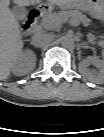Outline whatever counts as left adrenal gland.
Returning <instances> with one entry per match:
<instances>
[{
	"label": "left adrenal gland",
	"mask_w": 104,
	"mask_h": 137,
	"mask_svg": "<svg viewBox=\"0 0 104 137\" xmlns=\"http://www.w3.org/2000/svg\"><path fill=\"white\" fill-rule=\"evenodd\" d=\"M82 48H89L87 45H81Z\"/></svg>",
	"instance_id": "obj_1"
}]
</instances>
